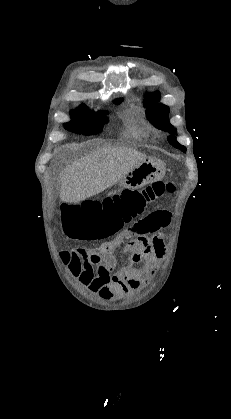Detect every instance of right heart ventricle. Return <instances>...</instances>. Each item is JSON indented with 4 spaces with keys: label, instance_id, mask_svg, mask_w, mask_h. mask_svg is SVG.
<instances>
[{
    "label": "right heart ventricle",
    "instance_id": "right-heart-ventricle-1",
    "mask_svg": "<svg viewBox=\"0 0 231 419\" xmlns=\"http://www.w3.org/2000/svg\"><path fill=\"white\" fill-rule=\"evenodd\" d=\"M131 132L134 136H141L142 135V130L137 128V127H132Z\"/></svg>",
    "mask_w": 231,
    "mask_h": 419
}]
</instances>
